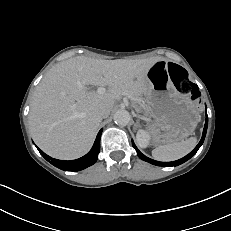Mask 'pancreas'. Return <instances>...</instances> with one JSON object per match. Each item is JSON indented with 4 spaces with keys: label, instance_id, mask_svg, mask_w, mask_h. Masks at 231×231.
<instances>
[{
    "label": "pancreas",
    "instance_id": "obj_1",
    "mask_svg": "<svg viewBox=\"0 0 231 231\" xmlns=\"http://www.w3.org/2000/svg\"><path fill=\"white\" fill-rule=\"evenodd\" d=\"M137 111L144 113V115H148V107L145 104H142L138 101Z\"/></svg>",
    "mask_w": 231,
    "mask_h": 231
}]
</instances>
